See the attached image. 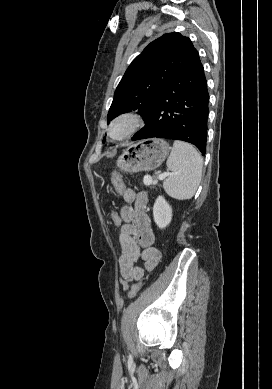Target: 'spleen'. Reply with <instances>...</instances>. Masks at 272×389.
Here are the masks:
<instances>
[{
    "label": "spleen",
    "instance_id": "1",
    "mask_svg": "<svg viewBox=\"0 0 272 389\" xmlns=\"http://www.w3.org/2000/svg\"><path fill=\"white\" fill-rule=\"evenodd\" d=\"M202 166V157L192 145L174 141L167 160L172 172L163 183L165 191L176 199L192 198L201 180Z\"/></svg>",
    "mask_w": 272,
    "mask_h": 389
}]
</instances>
